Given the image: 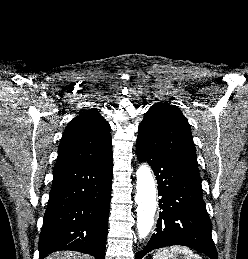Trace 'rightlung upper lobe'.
<instances>
[{
    "mask_svg": "<svg viewBox=\"0 0 248 259\" xmlns=\"http://www.w3.org/2000/svg\"><path fill=\"white\" fill-rule=\"evenodd\" d=\"M110 130L94 109L75 117L63 133L54 170L94 162L112 153Z\"/></svg>",
    "mask_w": 248,
    "mask_h": 259,
    "instance_id": "1",
    "label": "right lung upper lobe"
}]
</instances>
